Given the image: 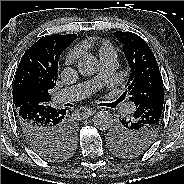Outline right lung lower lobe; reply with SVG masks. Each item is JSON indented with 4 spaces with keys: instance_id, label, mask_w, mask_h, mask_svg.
Wrapping results in <instances>:
<instances>
[{
    "instance_id": "98d812e1",
    "label": "right lung lower lobe",
    "mask_w": 184,
    "mask_h": 184,
    "mask_svg": "<svg viewBox=\"0 0 184 184\" xmlns=\"http://www.w3.org/2000/svg\"><path fill=\"white\" fill-rule=\"evenodd\" d=\"M65 109L50 104H25L16 109V120L29 146L38 153L63 141L67 131Z\"/></svg>"
}]
</instances>
